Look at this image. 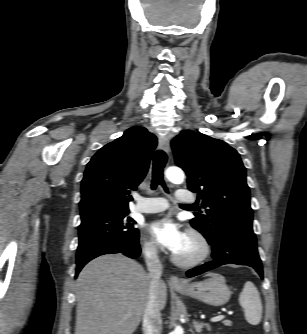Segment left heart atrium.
Returning <instances> with one entry per match:
<instances>
[{
    "label": "left heart atrium",
    "instance_id": "1",
    "mask_svg": "<svg viewBox=\"0 0 307 334\" xmlns=\"http://www.w3.org/2000/svg\"><path fill=\"white\" fill-rule=\"evenodd\" d=\"M148 232L158 245L173 253L178 252L183 247L187 236L170 216L151 222L148 226Z\"/></svg>",
    "mask_w": 307,
    "mask_h": 334
}]
</instances>
